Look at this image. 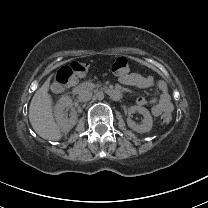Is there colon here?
<instances>
[{"label":"colon","mask_w":208,"mask_h":208,"mask_svg":"<svg viewBox=\"0 0 208 208\" xmlns=\"http://www.w3.org/2000/svg\"><path fill=\"white\" fill-rule=\"evenodd\" d=\"M87 65L83 62L76 61L70 64V69L73 71H86ZM111 72L114 75H125L130 72V63L125 57H118L111 66ZM171 116L169 114H163L159 119L161 126H168L171 123Z\"/></svg>","instance_id":"5ec220e1"}]
</instances>
